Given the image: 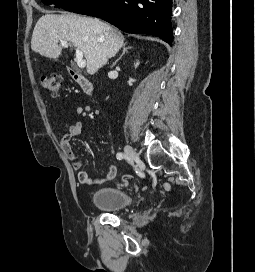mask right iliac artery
Masks as SVG:
<instances>
[{"label": "right iliac artery", "mask_w": 255, "mask_h": 272, "mask_svg": "<svg viewBox=\"0 0 255 272\" xmlns=\"http://www.w3.org/2000/svg\"><path fill=\"white\" fill-rule=\"evenodd\" d=\"M118 160H122L124 158V154L122 152L117 153L116 155Z\"/></svg>", "instance_id": "82829eb1"}]
</instances>
